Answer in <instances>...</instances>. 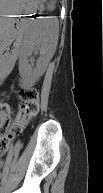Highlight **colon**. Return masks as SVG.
Instances as JSON below:
<instances>
[{
    "label": "colon",
    "mask_w": 103,
    "mask_h": 193,
    "mask_svg": "<svg viewBox=\"0 0 103 193\" xmlns=\"http://www.w3.org/2000/svg\"><path fill=\"white\" fill-rule=\"evenodd\" d=\"M16 97L19 101V111L14 119L8 104L1 105L0 122L2 132L0 136V153L4 154L14 136L22 130L27 122L35 117L39 112V92L35 88L22 89L17 92Z\"/></svg>",
    "instance_id": "1"
}]
</instances>
